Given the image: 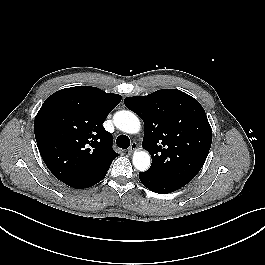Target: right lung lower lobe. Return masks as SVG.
Returning a JSON list of instances; mask_svg holds the SVG:
<instances>
[{"label":"right lung lower lobe","mask_w":265,"mask_h":265,"mask_svg":"<svg viewBox=\"0 0 265 265\" xmlns=\"http://www.w3.org/2000/svg\"><path fill=\"white\" fill-rule=\"evenodd\" d=\"M105 175H106V173L99 176V177H96L94 179L88 180L86 182L71 185V187L77 188V189H84V188L91 187V186L97 184L98 182H100L105 177Z\"/></svg>","instance_id":"obj_1"}]
</instances>
